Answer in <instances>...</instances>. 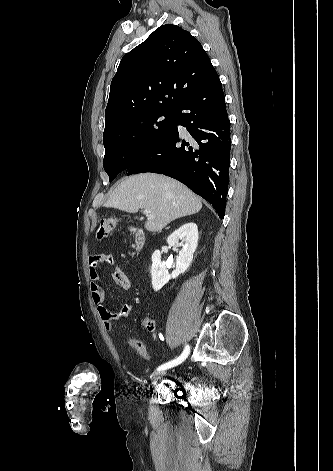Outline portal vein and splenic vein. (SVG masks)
<instances>
[{"instance_id": "portal-vein-and-splenic-vein-1", "label": "portal vein and splenic vein", "mask_w": 333, "mask_h": 471, "mask_svg": "<svg viewBox=\"0 0 333 471\" xmlns=\"http://www.w3.org/2000/svg\"><path fill=\"white\" fill-rule=\"evenodd\" d=\"M144 214H145L146 216H151V212H150V210H148V209H145V210H144Z\"/></svg>"}]
</instances>
